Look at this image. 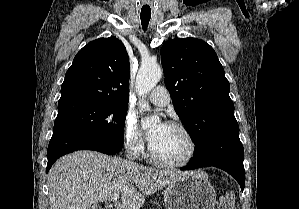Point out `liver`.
<instances>
[{"label":"liver","instance_id":"1","mask_svg":"<svg viewBox=\"0 0 299 209\" xmlns=\"http://www.w3.org/2000/svg\"><path fill=\"white\" fill-rule=\"evenodd\" d=\"M188 174L158 170L94 151L60 158L48 174L50 209H91L119 193L124 209H140L145 196Z\"/></svg>","mask_w":299,"mask_h":209}]
</instances>
